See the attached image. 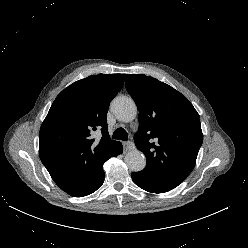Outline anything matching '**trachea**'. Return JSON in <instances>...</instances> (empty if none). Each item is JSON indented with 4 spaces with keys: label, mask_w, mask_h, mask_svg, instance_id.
Instances as JSON below:
<instances>
[{
    "label": "trachea",
    "mask_w": 248,
    "mask_h": 248,
    "mask_svg": "<svg viewBox=\"0 0 248 248\" xmlns=\"http://www.w3.org/2000/svg\"><path fill=\"white\" fill-rule=\"evenodd\" d=\"M113 139L127 141L128 140V133L123 128H118L114 131Z\"/></svg>",
    "instance_id": "obj_1"
}]
</instances>
